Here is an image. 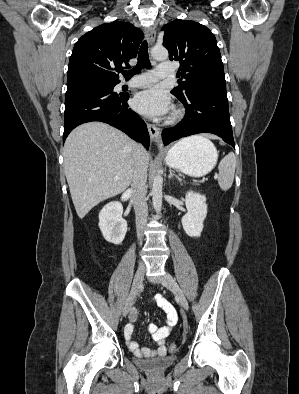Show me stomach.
Masks as SVG:
<instances>
[{"label":"stomach","mask_w":299,"mask_h":394,"mask_svg":"<svg viewBox=\"0 0 299 394\" xmlns=\"http://www.w3.org/2000/svg\"><path fill=\"white\" fill-rule=\"evenodd\" d=\"M218 153L212 143L199 141L196 137L183 139L169 149L166 164L187 175L198 177L209 173L214 167Z\"/></svg>","instance_id":"obj_1"}]
</instances>
